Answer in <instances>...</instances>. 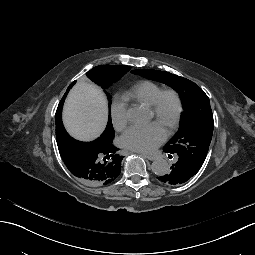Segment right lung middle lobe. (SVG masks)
Listing matches in <instances>:
<instances>
[{
	"instance_id": "right-lung-middle-lobe-1",
	"label": "right lung middle lobe",
	"mask_w": 255,
	"mask_h": 255,
	"mask_svg": "<svg viewBox=\"0 0 255 255\" xmlns=\"http://www.w3.org/2000/svg\"><path fill=\"white\" fill-rule=\"evenodd\" d=\"M130 70L129 66L121 65H102L96 66L87 72V77L95 82L97 85L101 86L103 89L108 88L112 83L118 81L127 71ZM110 99V97H109ZM111 122V102H109V120L108 124ZM77 150L82 152H87L89 150V145L87 143H77L75 145Z\"/></svg>"
}]
</instances>
